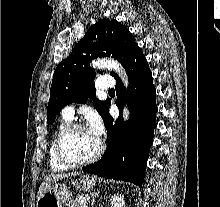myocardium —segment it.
Listing matches in <instances>:
<instances>
[{"mask_svg":"<svg viewBox=\"0 0 220 207\" xmlns=\"http://www.w3.org/2000/svg\"><path fill=\"white\" fill-rule=\"evenodd\" d=\"M77 129H87V128L82 123H78V122L69 123L60 131V133L58 134V136L56 137V140H55L56 157L60 163L67 166L68 168H76V167H83V166L89 165V164L97 161L101 157V155L104 151V144L99 139L98 148H97L96 152L90 158L83 160V161L69 160L63 152V142L68 134H70L72 131L77 130Z\"/></svg>","mask_w":220,"mask_h":207,"instance_id":"f54148a6","label":"myocardium"}]
</instances>
